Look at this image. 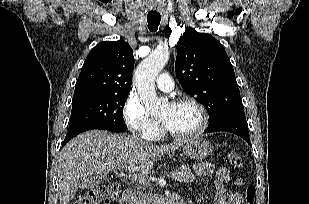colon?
Returning <instances> with one entry per match:
<instances>
[{
  "label": "colon",
  "instance_id": "colon-1",
  "mask_svg": "<svg viewBox=\"0 0 309 204\" xmlns=\"http://www.w3.org/2000/svg\"><path fill=\"white\" fill-rule=\"evenodd\" d=\"M226 162L235 168L243 166V160L239 152L230 148L226 154ZM120 193V185L117 182L101 184L95 188L89 189L80 195L73 204H102L115 200ZM255 187L249 185L245 190V204H254Z\"/></svg>",
  "mask_w": 309,
  "mask_h": 204
}]
</instances>
